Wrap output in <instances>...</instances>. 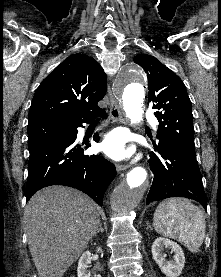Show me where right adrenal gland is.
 <instances>
[{
    "mask_svg": "<svg viewBox=\"0 0 221 277\" xmlns=\"http://www.w3.org/2000/svg\"><path fill=\"white\" fill-rule=\"evenodd\" d=\"M99 232H101V233H103V232H104V229H103V227H102V224H101V223L99 224V228H98L97 232L94 234V236H96Z\"/></svg>",
    "mask_w": 221,
    "mask_h": 277,
    "instance_id": "2a0ac1e0",
    "label": "right adrenal gland"
}]
</instances>
